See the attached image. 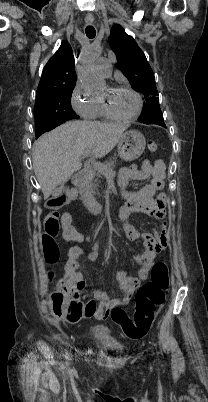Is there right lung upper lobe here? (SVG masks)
<instances>
[{"label": "right lung upper lobe", "mask_w": 208, "mask_h": 402, "mask_svg": "<svg viewBox=\"0 0 208 402\" xmlns=\"http://www.w3.org/2000/svg\"><path fill=\"white\" fill-rule=\"evenodd\" d=\"M76 83L75 60L69 44L62 42L57 52L43 68L37 94Z\"/></svg>", "instance_id": "obj_1"}]
</instances>
